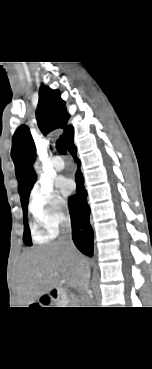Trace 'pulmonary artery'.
Returning <instances> with one entry per match:
<instances>
[{
    "instance_id": "pulmonary-artery-1",
    "label": "pulmonary artery",
    "mask_w": 152,
    "mask_h": 369,
    "mask_svg": "<svg viewBox=\"0 0 152 369\" xmlns=\"http://www.w3.org/2000/svg\"><path fill=\"white\" fill-rule=\"evenodd\" d=\"M52 166L55 171H62L65 168L64 161L60 156H54L52 158Z\"/></svg>"
}]
</instances>
